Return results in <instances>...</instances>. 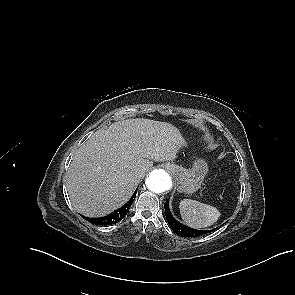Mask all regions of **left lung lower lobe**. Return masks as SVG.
<instances>
[{
	"mask_svg": "<svg viewBox=\"0 0 295 295\" xmlns=\"http://www.w3.org/2000/svg\"><path fill=\"white\" fill-rule=\"evenodd\" d=\"M164 208H165L166 219L168 221V224H169L170 228L176 234H178L179 236H182V237H197V236L207 234V233H210V232L213 231V230H196V229H192V228H189V227L181 224L180 222H178L170 212L169 199L165 202Z\"/></svg>",
	"mask_w": 295,
	"mask_h": 295,
	"instance_id": "0a47b994",
	"label": "left lung lower lobe"
}]
</instances>
